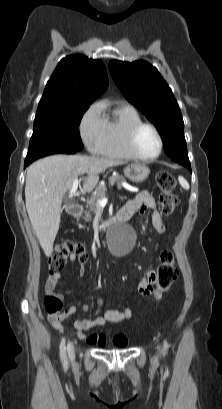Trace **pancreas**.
Here are the masks:
<instances>
[{
    "instance_id": "1",
    "label": "pancreas",
    "mask_w": 222,
    "mask_h": 409,
    "mask_svg": "<svg viewBox=\"0 0 222 409\" xmlns=\"http://www.w3.org/2000/svg\"><path fill=\"white\" fill-rule=\"evenodd\" d=\"M109 181L112 184L116 183L118 186H120V183L124 181V178L123 176L117 174L115 176L110 177ZM105 194H106V186L100 184L96 188V194L87 201L88 210L85 211V217H84L86 222L92 221V214L95 213L98 208L97 201L99 199H103L105 197Z\"/></svg>"
}]
</instances>
